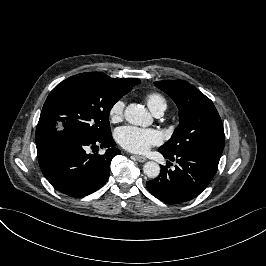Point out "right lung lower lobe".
Returning <instances> with one entry per match:
<instances>
[{"label":"right lung lower lobe","mask_w":266,"mask_h":266,"mask_svg":"<svg viewBox=\"0 0 266 266\" xmlns=\"http://www.w3.org/2000/svg\"><path fill=\"white\" fill-rule=\"evenodd\" d=\"M40 168L61 193L79 198L101 188L110 173V163L120 150L115 148L112 135L90 139L64 131L36 143ZM107 148L104 155L88 154L86 150Z\"/></svg>","instance_id":"1"}]
</instances>
